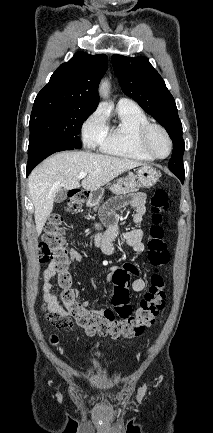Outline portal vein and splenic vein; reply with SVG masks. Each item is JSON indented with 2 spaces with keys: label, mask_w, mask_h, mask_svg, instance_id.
Masks as SVG:
<instances>
[{
  "label": "portal vein and splenic vein",
  "mask_w": 213,
  "mask_h": 433,
  "mask_svg": "<svg viewBox=\"0 0 213 433\" xmlns=\"http://www.w3.org/2000/svg\"><path fill=\"white\" fill-rule=\"evenodd\" d=\"M86 175H87V173L86 172H80L79 174H78V178L79 179H83V178H85L86 177Z\"/></svg>",
  "instance_id": "18ae733b"
}]
</instances>
